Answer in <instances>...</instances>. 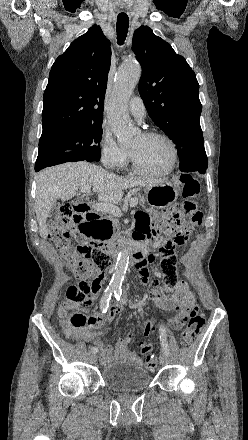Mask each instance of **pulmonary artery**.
I'll return each instance as SVG.
<instances>
[{
    "label": "pulmonary artery",
    "mask_w": 248,
    "mask_h": 440,
    "mask_svg": "<svg viewBox=\"0 0 248 440\" xmlns=\"http://www.w3.org/2000/svg\"><path fill=\"white\" fill-rule=\"evenodd\" d=\"M130 113L138 120H142L146 115L145 105L140 97H133L129 102Z\"/></svg>",
    "instance_id": "obj_1"
}]
</instances>
